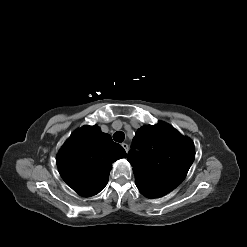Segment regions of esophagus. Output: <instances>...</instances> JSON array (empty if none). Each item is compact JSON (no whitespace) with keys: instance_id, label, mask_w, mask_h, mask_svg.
<instances>
[{"instance_id":"1","label":"esophagus","mask_w":247,"mask_h":247,"mask_svg":"<svg viewBox=\"0 0 247 247\" xmlns=\"http://www.w3.org/2000/svg\"><path fill=\"white\" fill-rule=\"evenodd\" d=\"M122 147L124 148V150H125L126 152H128L129 146H128L127 143H122Z\"/></svg>"}]
</instances>
